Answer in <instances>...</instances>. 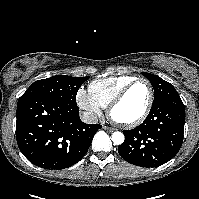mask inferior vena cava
<instances>
[{
  "instance_id": "obj_1",
  "label": "inferior vena cava",
  "mask_w": 199,
  "mask_h": 199,
  "mask_svg": "<svg viewBox=\"0 0 199 199\" xmlns=\"http://www.w3.org/2000/svg\"><path fill=\"white\" fill-rule=\"evenodd\" d=\"M81 120L82 122L87 123V124H95L98 122V117L93 112L85 111L81 114Z\"/></svg>"
}]
</instances>
